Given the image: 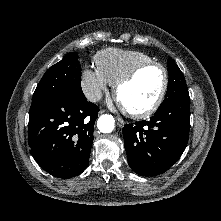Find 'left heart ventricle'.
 Masks as SVG:
<instances>
[{
  "label": "left heart ventricle",
  "instance_id": "b2bd125f",
  "mask_svg": "<svg viewBox=\"0 0 221 221\" xmlns=\"http://www.w3.org/2000/svg\"><path fill=\"white\" fill-rule=\"evenodd\" d=\"M163 84V73L158 67L141 71L118 94L122 106L129 110H142L150 106L158 96Z\"/></svg>",
  "mask_w": 221,
  "mask_h": 221
}]
</instances>
